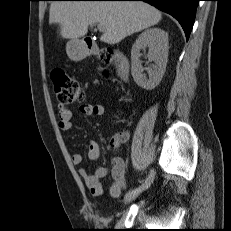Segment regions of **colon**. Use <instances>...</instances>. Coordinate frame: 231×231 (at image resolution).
Returning <instances> with one entry per match:
<instances>
[{"label": "colon", "mask_w": 231, "mask_h": 231, "mask_svg": "<svg viewBox=\"0 0 231 231\" xmlns=\"http://www.w3.org/2000/svg\"><path fill=\"white\" fill-rule=\"evenodd\" d=\"M113 54L112 50L107 49L101 54V58L110 62L113 60ZM51 79L56 98L61 105L78 103L84 99L82 87L65 70L54 69L51 73Z\"/></svg>", "instance_id": "5ec220e1"}]
</instances>
